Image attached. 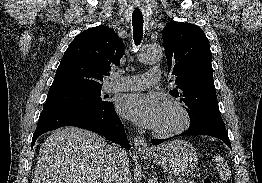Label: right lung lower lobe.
I'll return each mask as SVG.
<instances>
[{
    "instance_id": "obj_1",
    "label": "right lung lower lobe",
    "mask_w": 262,
    "mask_h": 183,
    "mask_svg": "<svg viewBox=\"0 0 262 183\" xmlns=\"http://www.w3.org/2000/svg\"><path fill=\"white\" fill-rule=\"evenodd\" d=\"M63 126H76L99 133L119 143L122 147L130 149L113 103L106 107H83L70 104H45L40 115L37 129L32 138V147L36 139L45 132Z\"/></svg>"
}]
</instances>
